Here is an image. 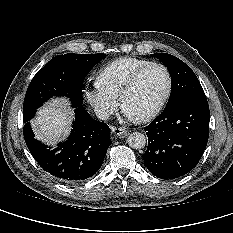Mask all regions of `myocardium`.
Segmentation results:
<instances>
[{"label":"myocardium","mask_w":233,"mask_h":233,"mask_svg":"<svg viewBox=\"0 0 233 233\" xmlns=\"http://www.w3.org/2000/svg\"><path fill=\"white\" fill-rule=\"evenodd\" d=\"M151 67H159L165 72V74L167 76V88H166L165 94L163 95V97L159 101V103L151 111H149L148 113L137 118V120L140 122H146V121H149V120L155 118L162 111V109L164 108V106L168 102V100L171 96V93H172V89H173V77H172V74H171V71L169 70V68L166 65L159 63V62H150V63L140 67L139 69H137L131 75V77L128 79V81L124 85V87L121 90V93L119 95L120 104L122 106H124V100H125L126 96L135 87V85L137 84V82L140 79V77L142 76V74L147 69H149Z\"/></svg>","instance_id":"f54148a6"}]
</instances>
